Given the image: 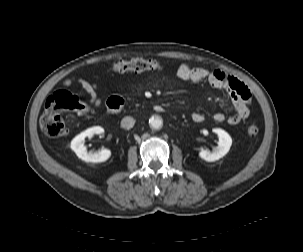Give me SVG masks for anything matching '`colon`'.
<instances>
[{"mask_svg":"<svg viewBox=\"0 0 303 252\" xmlns=\"http://www.w3.org/2000/svg\"><path fill=\"white\" fill-rule=\"evenodd\" d=\"M161 67V63L154 59H136L131 61H116L113 63L111 69L116 73H125L128 71L158 70ZM90 110L91 106L81 101L72 92L59 90L47 98L44 112L40 119V125L47 136L52 138L62 137L69 133V127L61 117V113H86ZM247 132L250 137L254 138L259 133V127L251 124Z\"/></svg>","mask_w":303,"mask_h":252,"instance_id":"colon-1","label":"colon"}]
</instances>
